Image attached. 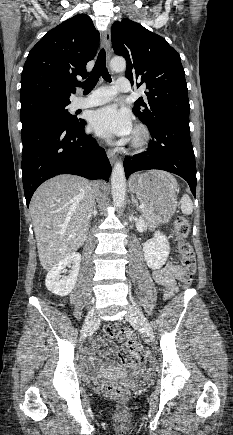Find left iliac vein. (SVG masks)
<instances>
[{
    "mask_svg": "<svg viewBox=\"0 0 233 435\" xmlns=\"http://www.w3.org/2000/svg\"><path fill=\"white\" fill-rule=\"evenodd\" d=\"M126 319L129 322L137 323L142 328L149 340H154V333L143 313L135 306L130 305L126 314Z\"/></svg>",
    "mask_w": 233,
    "mask_h": 435,
    "instance_id": "4c4485c4",
    "label": "left iliac vein"
}]
</instances>
